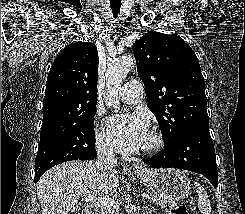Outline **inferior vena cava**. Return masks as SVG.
Instances as JSON below:
<instances>
[{"label":"inferior vena cava","instance_id":"obj_1","mask_svg":"<svg viewBox=\"0 0 245 214\" xmlns=\"http://www.w3.org/2000/svg\"><path fill=\"white\" fill-rule=\"evenodd\" d=\"M97 160L96 165L98 168L111 169L117 163L113 149L102 140L96 142Z\"/></svg>","mask_w":245,"mask_h":214}]
</instances>
